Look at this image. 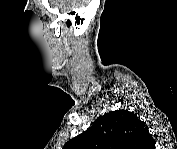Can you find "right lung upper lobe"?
Wrapping results in <instances>:
<instances>
[{
    "label": "right lung upper lobe",
    "instance_id": "right-lung-upper-lobe-1",
    "mask_svg": "<svg viewBox=\"0 0 177 149\" xmlns=\"http://www.w3.org/2000/svg\"><path fill=\"white\" fill-rule=\"evenodd\" d=\"M149 137L147 126L134 113L115 110L98 117L90 128L68 141L63 148L152 149L155 141Z\"/></svg>",
    "mask_w": 177,
    "mask_h": 149
}]
</instances>
